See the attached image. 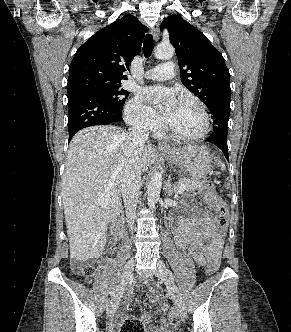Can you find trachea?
<instances>
[{"instance_id":"1","label":"trachea","mask_w":291,"mask_h":332,"mask_svg":"<svg viewBox=\"0 0 291 332\" xmlns=\"http://www.w3.org/2000/svg\"><path fill=\"white\" fill-rule=\"evenodd\" d=\"M152 49H153V36L151 34H147L143 43V51L145 58L151 56Z\"/></svg>"}]
</instances>
